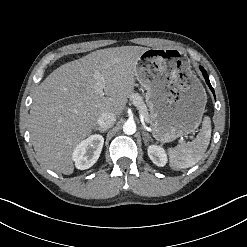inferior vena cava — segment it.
I'll return each instance as SVG.
<instances>
[{
	"label": "inferior vena cava",
	"instance_id": "inferior-vena-cava-1",
	"mask_svg": "<svg viewBox=\"0 0 247 247\" xmlns=\"http://www.w3.org/2000/svg\"><path fill=\"white\" fill-rule=\"evenodd\" d=\"M115 121H116L115 114L111 112H104L98 117L97 124L100 126V128L108 129L115 124Z\"/></svg>",
	"mask_w": 247,
	"mask_h": 247
}]
</instances>
